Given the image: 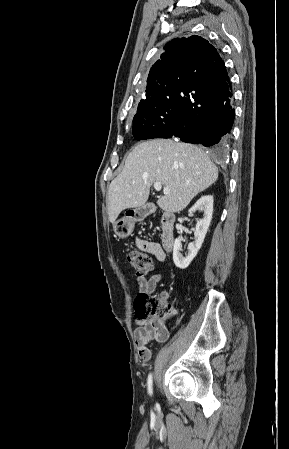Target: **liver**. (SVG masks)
<instances>
[{
  "mask_svg": "<svg viewBox=\"0 0 289 449\" xmlns=\"http://www.w3.org/2000/svg\"><path fill=\"white\" fill-rule=\"evenodd\" d=\"M217 179V167L195 145L169 139L140 143L129 153L122 172L109 186V221L114 225L123 210L143 206L155 182L170 189L169 194L158 198V206L174 213L186 208Z\"/></svg>",
  "mask_w": 289,
  "mask_h": 449,
  "instance_id": "1",
  "label": "liver"
}]
</instances>
